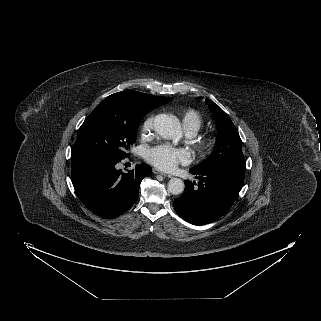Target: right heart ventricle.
<instances>
[{
	"instance_id": "e07e8e85",
	"label": "right heart ventricle",
	"mask_w": 321,
	"mask_h": 321,
	"mask_svg": "<svg viewBox=\"0 0 321 321\" xmlns=\"http://www.w3.org/2000/svg\"><path fill=\"white\" fill-rule=\"evenodd\" d=\"M182 124L187 133L194 135L204 124V119L199 111L186 109L181 115Z\"/></svg>"
}]
</instances>
